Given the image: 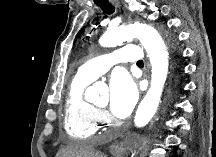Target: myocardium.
Here are the masks:
<instances>
[{
    "instance_id": "1",
    "label": "myocardium",
    "mask_w": 216,
    "mask_h": 157,
    "mask_svg": "<svg viewBox=\"0 0 216 157\" xmlns=\"http://www.w3.org/2000/svg\"><path fill=\"white\" fill-rule=\"evenodd\" d=\"M97 107L102 108L103 106H100V105L97 104Z\"/></svg>"
}]
</instances>
